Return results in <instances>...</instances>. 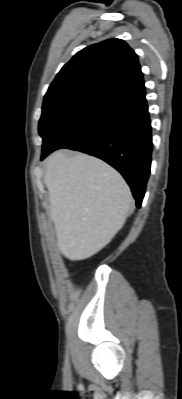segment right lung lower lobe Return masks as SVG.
Returning <instances> with one entry per match:
<instances>
[{"label": "right lung lower lobe", "instance_id": "obj_1", "mask_svg": "<svg viewBox=\"0 0 182 399\" xmlns=\"http://www.w3.org/2000/svg\"><path fill=\"white\" fill-rule=\"evenodd\" d=\"M145 86L107 98L63 130L41 159L60 148L98 157L125 178L140 207L150 174L152 134Z\"/></svg>", "mask_w": 182, "mask_h": 399}]
</instances>
